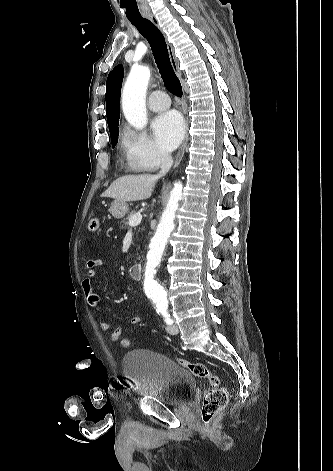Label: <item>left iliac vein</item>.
<instances>
[{"label":"left iliac vein","mask_w":333,"mask_h":471,"mask_svg":"<svg viewBox=\"0 0 333 471\" xmlns=\"http://www.w3.org/2000/svg\"><path fill=\"white\" fill-rule=\"evenodd\" d=\"M166 330L169 334H172V335H176L179 332V328H178L177 324H175V323L171 324V325H168Z\"/></svg>","instance_id":"1"}]
</instances>
